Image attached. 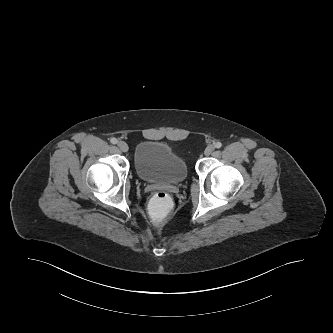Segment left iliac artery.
<instances>
[{
  "label": "left iliac artery",
  "mask_w": 333,
  "mask_h": 333,
  "mask_svg": "<svg viewBox=\"0 0 333 333\" xmlns=\"http://www.w3.org/2000/svg\"><path fill=\"white\" fill-rule=\"evenodd\" d=\"M215 147L216 148H221L222 147V143L221 142H216L215 143Z\"/></svg>",
  "instance_id": "44dca946"
}]
</instances>
